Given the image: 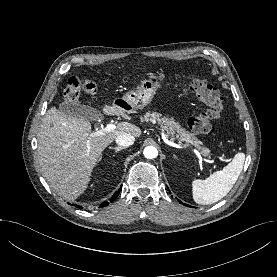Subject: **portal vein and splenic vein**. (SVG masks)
Listing matches in <instances>:
<instances>
[{"label":"portal vein and splenic vein","instance_id":"18ae733b","mask_svg":"<svg viewBox=\"0 0 277 277\" xmlns=\"http://www.w3.org/2000/svg\"><path fill=\"white\" fill-rule=\"evenodd\" d=\"M116 129V125L114 124H106V127L101 129V130H98L96 132H93L90 134L91 137H95V136H99V135H102L104 133H107V132H111L113 130ZM194 152L195 153H198V150L197 149H194ZM204 156H208L209 155V151H206L203 153Z\"/></svg>","mask_w":277,"mask_h":277}]
</instances>
